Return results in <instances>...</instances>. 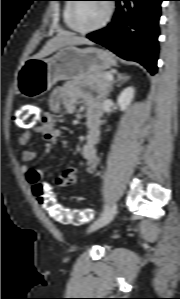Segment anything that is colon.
Wrapping results in <instances>:
<instances>
[{"label":"colon","instance_id":"colon-1","mask_svg":"<svg viewBox=\"0 0 180 299\" xmlns=\"http://www.w3.org/2000/svg\"><path fill=\"white\" fill-rule=\"evenodd\" d=\"M43 119L41 110L37 107L19 108L15 113V122L19 128L29 129L38 125ZM33 192L38 203L54 219L66 224H83L93 217L89 208L70 209L61 206L55 197L52 187L46 183L33 185Z\"/></svg>","mask_w":180,"mask_h":299}]
</instances>
